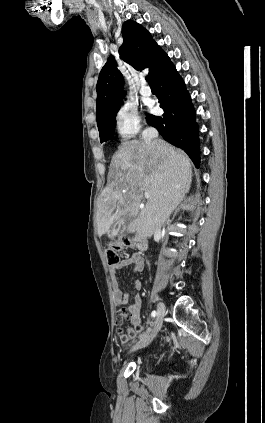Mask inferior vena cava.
Returning a JSON list of instances; mask_svg holds the SVG:
<instances>
[{
  "label": "inferior vena cava",
  "instance_id": "602c4592",
  "mask_svg": "<svg viewBox=\"0 0 265 423\" xmlns=\"http://www.w3.org/2000/svg\"><path fill=\"white\" fill-rule=\"evenodd\" d=\"M157 138H158V131L153 127L145 128L142 131V139L144 140L146 144L156 143L158 141Z\"/></svg>",
  "mask_w": 265,
  "mask_h": 423
}]
</instances>
